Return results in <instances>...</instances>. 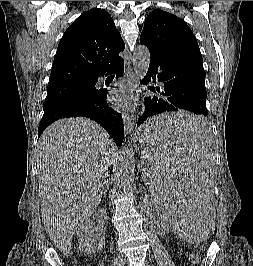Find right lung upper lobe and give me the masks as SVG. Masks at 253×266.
Returning a JSON list of instances; mask_svg holds the SVG:
<instances>
[{"mask_svg": "<svg viewBox=\"0 0 253 266\" xmlns=\"http://www.w3.org/2000/svg\"><path fill=\"white\" fill-rule=\"evenodd\" d=\"M124 49V41L110 14L103 9H91L65 31L48 87L95 79L123 60L119 52Z\"/></svg>", "mask_w": 253, "mask_h": 266, "instance_id": "1", "label": "right lung upper lobe"}]
</instances>
